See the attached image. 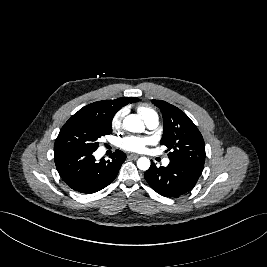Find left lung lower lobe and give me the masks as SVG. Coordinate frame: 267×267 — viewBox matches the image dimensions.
<instances>
[{"label": "left lung lower lobe", "mask_w": 267, "mask_h": 267, "mask_svg": "<svg viewBox=\"0 0 267 267\" xmlns=\"http://www.w3.org/2000/svg\"><path fill=\"white\" fill-rule=\"evenodd\" d=\"M202 171L201 167L170 160L167 167H157L152 162L144 177L157 193L172 198L189 192L197 183Z\"/></svg>", "instance_id": "obj_1"}]
</instances>
